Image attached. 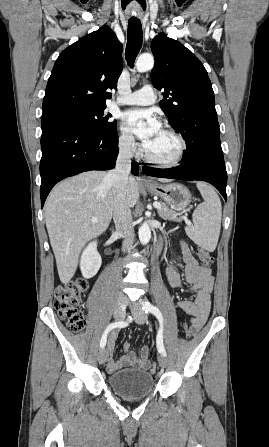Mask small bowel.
<instances>
[{
  "label": "small bowel",
  "mask_w": 269,
  "mask_h": 447,
  "mask_svg": "<svg viewBox=\"0 0 269 447\" xmlns=\"http://www.w3.org/2000/svg\"><path fill=\"white\" fill-rule=\"evenodd\" d=\"M180 252L185 261V280L194 292L193 300H178V308L189 314L192 325L201 328L210 313L211 294L213 292L215 279L212 270L209 267L202 266L194 259L189 248L183 242L179 244ZM167 276L170 284L177 289L184 287L185 283L175 269L174 260H171ZM117 334L113 332L108 337L107 351L110 356L107 369L109 372L117 371L123 367L135 366L140 369H147L149 365V356H143L142 346L137 352L129 351V343L124 345L125 353L118 360L113 359L114 347Z\"/></svg>",
  "instance_id": "small-bowel-1"
}]
</instances>
